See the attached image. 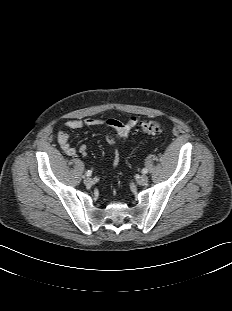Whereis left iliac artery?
Here are the masks:
<instances>
[{
	"instance_id": "obj_1",
	"label": "left iliac artery",
	"mask_w": 232,
	"mask_h": 311,
	"mask_svg": "<svg viewBox=\"0 0 232 311\" xmlns=\"http://www.w3.org/2000/svg\"><path fill=\"white\" fill-rule=\"evenodd\" d=\"M148 172V169L147 168H144L143 170H142V173L143 174H146Z\"/></svg>"
}]
</instances>
